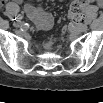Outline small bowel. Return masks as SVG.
I'll return each instance as SVG.
<instances>
[{"instance_id":"1","label":"small bowel","mask_w":103,"mask_h":103,"mask_svg":"<svg viewBox=\"0 0 103 103\" xmlns=\"http://www.w3.org/2000/svg\"><path fill=\"white\" fill-rule=\"evenodd\" d=\"M102 4V2H100ZM24 11L29 19H31L36 29L46 30L53 25V17L51 14L38 9L31 4L24 5Z\"/></svg>"}]
</instances>
